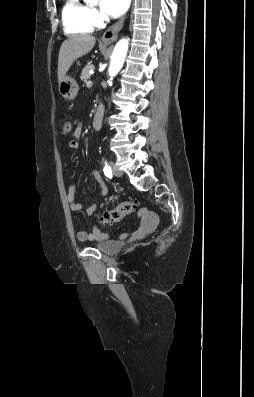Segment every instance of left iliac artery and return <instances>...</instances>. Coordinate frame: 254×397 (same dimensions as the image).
Returning <instances> with one entry per match:
<instances>
[{
    "instance_id": "1",
    "label": "left iliac artery",
    "mask_w": 254,
    "mask_h": 397,
    "mask_svg": "<svg viewBox=\"0 0 254 397\" xmlns=\"http://www.w3.org/2000/svg\"><path fill=\"white\" fill-rule=\"evenodd\" d=\"M103 171H104V174L108 177V178H112V171H111V168H110V166L108 165V162L107 161H105V166H104V169H103Z\"/></svg>"
}]
</instances>
